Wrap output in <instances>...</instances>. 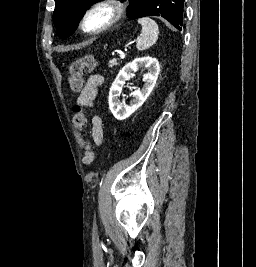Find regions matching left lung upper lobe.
Returning <instances> with one entry per match:
<instances>
[{"label": "left lung upper lobe", "instance_id": "5c2ea615", "mask_svg": "<svg viewBox=\"0 0 256 267\" xmlns=\"http://www.w3.org/2000/svg\"><path fill=\"white\" fill-rule=\"evenodd\" d=\"M101 0H55L53 20L58 36L65 39L77 28L86 9ZM129 17L162 16L175 27V0H130Z\"/></svg>", "mask_w": 256, "mask_h": 267}]
</instances>
